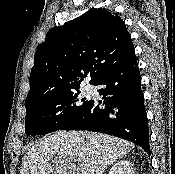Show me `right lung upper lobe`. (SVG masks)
<instances>
[{
  "label": "right lung upper lobe",
  "mask_w": 175,
  "mask_h": 174,
  "mask_svg": "<svg viewBox=\"0 0 175 174\" xmlns=\"http://www.w3.org/2000/svg\"><path fill=\"white\" fill-rule=\"evenodd\" d=\"M133 52L124 21L105 9L54 27L35 53L25 104L79 88L88 73L94 85L112 65Z\"/></svg>",
  "instance_id": "obj_1"
}]
</instances>
